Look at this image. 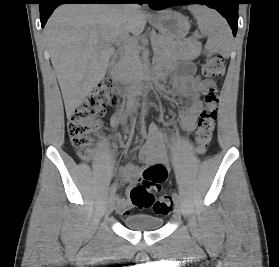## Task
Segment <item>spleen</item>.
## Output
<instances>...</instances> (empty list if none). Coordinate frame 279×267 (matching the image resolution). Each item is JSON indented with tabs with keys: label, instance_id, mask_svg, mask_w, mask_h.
Wrapping results in <instances>:
<instances>
[{
	"label": "spleen",
	"instance_id": "3e777b00",
	"mask_svg": "<svg viewBox=\"0 0 279 267\" xmlns=\"http://www.w3.org/2000/svg\"><path fill=\"white\" fill-rule=\"evenodd\" d=\"M189 10L193 13L200 31L208 36L206 50L227 57L232 35L225 19L214 9L203 5H192Z\"/></svg>",
	"mask_w": 279,
	"mask_h": 267
}]
</instances>
